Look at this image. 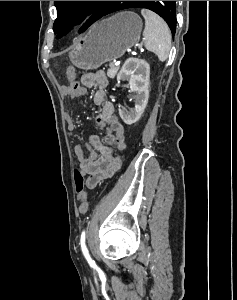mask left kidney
<instances>
[{"mask_svg":"<svg viewBox=\"0 0 237 300\" xmlns=\"http://www.w3.org/2000/svg\"><path fill=\"white\" fill-rule=\"evenodd\" d=\"M150 65L143 59L130 57L125 61L117 75V81H129L130 89L134 95L135 107L124 111L119 109V115L126 125H133L143 115L149 99Z\"/></svg>","mask_w":237,"mask_h":300,"instance_id":"1","label":"left kidney"}]
</instances>
